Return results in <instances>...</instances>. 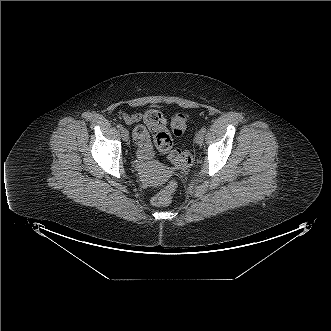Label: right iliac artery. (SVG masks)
I'll return each mask as SVG.
<instances>
[{
    "label": "right iliac artery",
    "mask_w": 331,
    "mask_h": 331,
    "mask_svg": "<svg viewBox=\"0 0 331 331\" xmlns=\"http://www.w3.org/2000/svg\"><path fill=\"white\" fill-rule=\"evenodd\" d=\"M117 128H118L119 130H122V129H123V126H122L121 124H117Z\"/></svg>",
    "instance_id": "right-iliac-artery-1"
}]
</instances>
